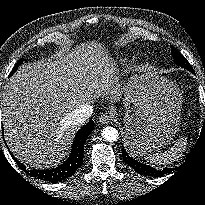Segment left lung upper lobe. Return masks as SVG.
Here are the masks:
<instances>
[{"mask_svg":"<svg viewBox=\"0 0 205 205\" xmlns=\"http://www.w3.org/2000/svg\"><path fill=\"white\" fill-rule=\"evenodd\" d=\"M172 56L175 59V63L177 65L193 72V70H192L190 64L188 63V61L186 60V58H184V56H182L181 53L178 52L174 46H172Z\"/></svg>","mask_w":205,"mask_h":205,"instance_id":"left-lung-upper-lobe-1","label":"left lung upper lobe"}]
</instances>
